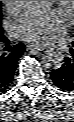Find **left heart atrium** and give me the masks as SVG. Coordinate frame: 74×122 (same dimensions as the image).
Masks as SVG:
<instances>
[{
	"label": "left heart atrium",
	"instance_id": "1",
	"mask_svg": "<svg viewBox=\"0 0 74 122\" xmlns=\"http://www.w3.org/2000/svg\"><path fill=\"white\" fill-rule=\"evenodd\" d=\"M68 24L64 13L50 9L28 11L14 23V27L26 41L47 43L61 34Z\"/></svg>",
	"mask_w": 74,
	"mask_h": 122
}]
</instances>
